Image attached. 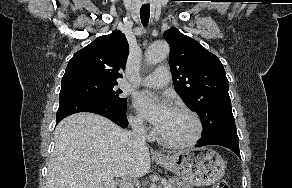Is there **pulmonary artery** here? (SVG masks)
<instances>
[{
	"mask_svg": "<svg viewBox=\"0 0 292 188\" xmlns=\"http://www.w3.org/2000/svg\"><path fill=\"white\" fill-rule=\"evenodd\" d=\"M170 81V72L167 67H158L153 73L144 77L141 83L146 87L161 88Z\"/></svg>",
	"mask_w": 292,
	"mask_h": 188,
	"instance_id": "pulmonary-artery-1",
	"label": "pulmonary artery"
}]
</instances>
